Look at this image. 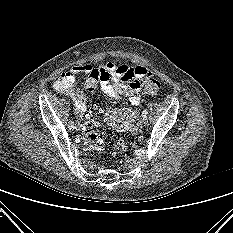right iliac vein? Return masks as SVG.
<instances>
[{"label": "right iliac vein", "mask_w": 233, "mask_h": 233, "mask_svg": "<svg viewBox=\"0 0 233 233\" xmlns=\"http://www.w3.org/2000/svg\"><path fill=\"white\" fill-rule=\"evenodd\" d=\"M75 129H76L77 131L80 130V125H79V123L76 124Z\"/></svg>", "instance_id": "1"}]
</instances>
